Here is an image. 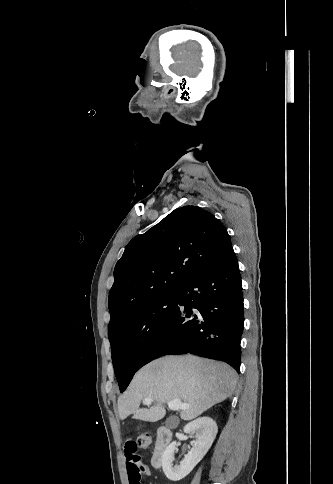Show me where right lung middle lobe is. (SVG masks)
I'll use <instances>...</instances> for the list:
<instances>
[{
    "label": "right lung middle lobe",
    "instance_id": "1",
    "mask_svg": "<svg viewBox=\"0 0 333 484\" xmlns=\"http://www.w3.org/2000/svg\"><path fill=\"white\" fill-rule=\"evenodd\" d=\"M179 292L157 296L122 315L109 325L112 362L120 391L130 383L143 352L176 309Z\"/></svg>",
    "mask_w": 333,
    "mask_h": 484
}]
</instances>
